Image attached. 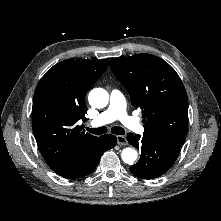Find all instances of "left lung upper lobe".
Wrapping results in <instances>:
<instances>
[{
    "label": "left lung upper lobe",
    "instance_id": "obj_1",
    "mask_svg": "<svg viewBox=\"0 0 221 221\" xmlns=\"http://www.w3.org/2000/svg\"><path fill=\"white\" fill-rule=\"evenodd\" d=\"M110 67L142 110L144 134L183 144L188 132V98L176 71L164 60L142 53L111 58Z\"/></svg>",
    "mask_w": 221,
    "mask_h": 221
}]
</instances>
